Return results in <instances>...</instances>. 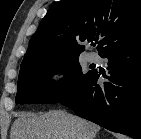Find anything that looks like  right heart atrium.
I'll list each match as a JSON object with an SVG mask.
<instances>
[{
    "mask_svg": "<svg viewBox=\"0 0 141 139\" xmlns=\"http://www.w3.org/2000/svg\"><path fill=\"white\" fill-rule=\"evenodd\" d=\"M46 78L52 90L60 91L67 86L70 75L66 68L54 65L48 69Z\"/></svg>",
    "mask_w": 141,
    "mask_h": 139,
    "instance_id": "obj_1",
    "label": "right heart atrium"
}]
</instances>
